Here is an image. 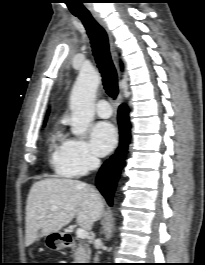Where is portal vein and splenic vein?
Here are the masks:
<instances>
[{
	"label": "portal vein and splenic vein",
	"mask_w": 205,
	"mask_h": 265,
	"mask_svg": "<svg viewBox=\"0 0 205 265\" xmlns=\"http://www.w3.org/2000/svg\"><path fill=\"white\" fill-rule=\"evenodd\" d=\"M76 235H77V237L80 238V239H85V238L88 237V232H87V230H85V229H83V228H78V229L76 230Z\"/></svg>",
	"instance_id": "18ae733b"
}]
</instances>
